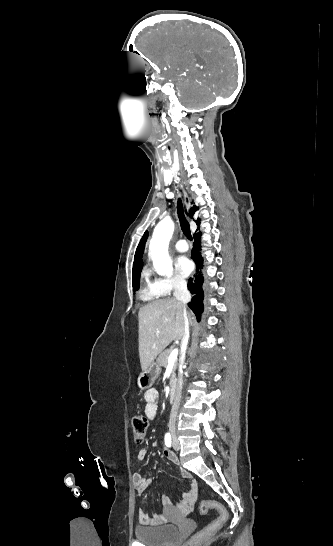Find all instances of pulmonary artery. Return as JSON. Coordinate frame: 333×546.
Instances as JSON below:
<instances>
[{"instance_id":"pulmonary-artery-1","label":"pulmonary artery","mask_w":333,"mask_h":546,"mask_svg":"<svg viewBox=\"0 0 333 546\" xmlns=\"http://www.w3.org/2000/svg\"><path fill=\"white\" fill-rule=\"evenodd\" d=\"M174 247L178 252H186L188 250L187 242L183 239L178 240Z\"/></svg>"}]
</instances>
